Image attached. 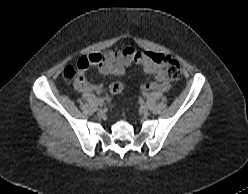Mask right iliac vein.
Wrapping results in <instances>:
<instances>
[{"label": "right iliac vein", "instance_id": "right-iliac-vein-1", "mask_svg": "<svg viewBox=\"0 0 248 194\" xmlns=\"http://www.w3.org/2000/svg\"><path fill=\"white\" fill-rule=\"evenodd\" d=\"M97 103L100 107H103L104 106V100L101 98V99H98L97 100Z\"/></svg>", "mask_w": 248, "mask_h": 194}]
</instances>
